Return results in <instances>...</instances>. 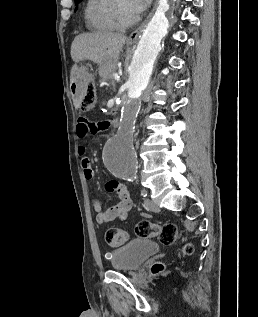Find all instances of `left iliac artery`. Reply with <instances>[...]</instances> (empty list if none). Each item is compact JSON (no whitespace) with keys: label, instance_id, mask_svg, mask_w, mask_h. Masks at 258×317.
Instances as JSON below:
<instances>
[{"label":"left iliac artery","instance_id":"left-iliac-artery-1","mask_svg":"<svg viewBox=\"0 0 258 317\" xmlns=\"http://www.w3.org/2000/svg\"><path fill=\"white\" fill-rule=\"evenodd\" d=\"M124 179H126L127 181L129 182H133L135 180V177H125ZM141 196L143 198H146L147 197V191L146 189H141Z\"/></svg>","mask_w":258,"mask_h":317}]
</instances>
